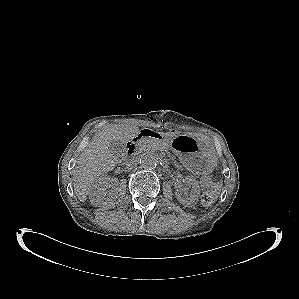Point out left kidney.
<instances>
[{
    "label": "left kidney",
    "mask_w": 299,
    "mask_h": 299,
    "mask_svg": "<svg viewBox=\"0 0 299 299\" xmlns=\"http://www.w3.org/2000/svg\"><path fill=\"white\" fill-rule=\"evenodd\" d=\"M185 182L189 185H191L192 189H191V193L189 197H185L182 195V191L181 190H176L175 195L177 200L186 206H191L193 204H195V202L198 200L199 195H200V188L198 185V182L195 178L191 177V176H187L185 177Z\"/></svg>",
    "instance_id": "1"
}]
</instances>
